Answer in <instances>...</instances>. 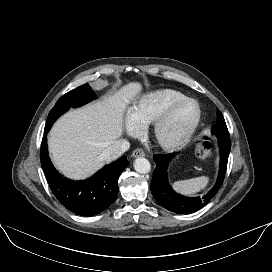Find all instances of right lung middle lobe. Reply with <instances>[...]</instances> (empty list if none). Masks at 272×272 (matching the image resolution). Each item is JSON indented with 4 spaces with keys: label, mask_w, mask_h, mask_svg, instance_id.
<instances>
[{
    "label": "right lung middle lobe",
    "mask_w": 272,
    "mask_h": 272,
    "mask_svg": "<svg viewBox=\"0 0 272 272\" xmlns=\"http://www.w3.org/2000/svg\"><path fill=\"white\" fill-rule=\"evenodd\" d=\"M94 98H96V95L88 83L69 91L56 102L55 106L50 111L45 129H50L57 118L71 107H80L92 101Z\"/></svg>",
    "instance_id": "dd1d6c3e"
}]
</instances>
